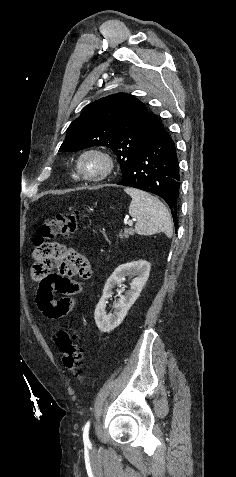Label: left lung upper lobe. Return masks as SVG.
<instances>
[{"mask_svg":"<svg viewBox=\"0 0 236 477\" xmlns=\"http://www.w3.org/2000/svg\"><path fill=\"white\" fill-rule=\"evenodd\" d=\"M161 121L133 95L117 93L86 107L67 129L59 151L109 147L117 155L122 177L131 161L152 139Z\"/></svg>","mask_w":236,"mask_h":477,"instance_id":"5c2ea615","label":"left lung upper lobe"}]
</instances>
